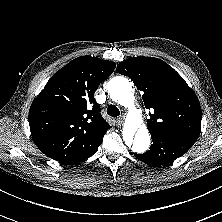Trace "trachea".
Here are the masks:
<instances>
[{
    "label": "trachea",
    "instance_id": "3493384b",
    "mask_svg": "<svg viewBox=\"0 0 222 222\" xmlns=\"http://www.w3.org/2000/svg\"><path fill=\"white\" fill-rule=\"evenodd\" d=\"M107 114L111 117H118L120 115V111L115 105H109L107 107Z\"/></svg>",
    "mask_w": 222,
    "mask_h": 222
}]
</instances>
